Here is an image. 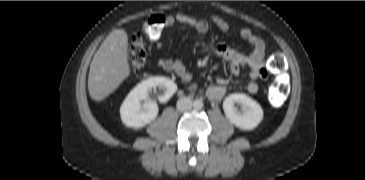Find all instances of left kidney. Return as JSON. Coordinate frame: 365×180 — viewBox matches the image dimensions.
<instances>
[{
	"instance_id": "5707ae66",
	"label": "left kidney",
	"mask_w": 365,
	"mask_h": 180,
	"mask_svg": "<svg viewBox=\"0 0 365 180\" xmlns=\"http://www.w3.org/2000/svg\"><path fill=\"white\" fill-rule=\"evenodd\" d=\"M241 105V110L235 107ZM223 110L228 120L243 130H252L263 119L261 106L245 94H231L223 102Z\"/></svg>"
}]
</instances>
